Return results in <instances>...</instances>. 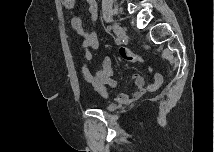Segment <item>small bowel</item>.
<instances>
[{"mask_svg":"<svg viewBox=\"0 0 215 152\" xmlns=\"http://www.w3.org/2000/svg\"><path fill=\"white\" fill-rule=\"evenodd\" d=\"M88 11L93 21L97 19V3L95 0H87ZM72 29L81 37V45L85 50L87 59H91L90 49L98 50L99 42L94 31L88 32L84 29L82 19L74 16L71 19ZM83 75L85 80L90 83L96 92L103 97L108 96L107 88L115 87L116 83L112 80L114 74L112 67V60L109 56L105 57L102 63V68L91 74L88 68H83ZM132 80L136 86V91L133 94L123 92L117 97L119 102H128L140 98L147 91L156 90L162 83V77L159 74H154L153 80L146 85L144 78L140 74H133Z\"/></svg>","mask_w":215,"mask_h":152,"instance_id":"1","label":"small bowel"}]
</instances>
